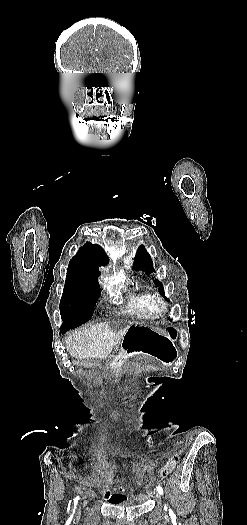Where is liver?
<instances>
[{
    "label": "liver",
    "instance_id": "liver-1",
    "mask_svg": "<svg viewBox=\"0 0 247 525\" xmlns=\"http://www.w3.org/2000/svg\"><path fill=\"white\" fill-rule=\"evenodd\" d=\"M108 323H98V325H87L84 329L74 331L67 337L65 343L71 357L76 359H104L107 355L104 341L109 333Z\"/></svg>",
    "mask_w": 247,
    "mask_h": 525
}]
</instances>
